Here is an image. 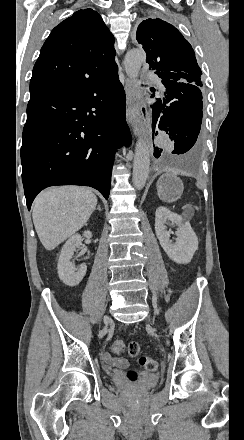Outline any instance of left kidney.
I'll return each mask as SVG.
<instances>
[{"label":"left kidney","mask_w":244,"mask_h":440,"mask_svg":"<svg viewBox=\"0 0 244 440\" xmlns=\"http://www.w3.org/2000/svg\"><path fill=\"white\" fill-rule=\"evenodd\" d=\"M167 222L179 226L177 232H175L176 242L170 240V234H173V232H167L165 226ZM155 232L160 246L173 262H177V264H189L191 262L193 254L198 248V238L189 222H186L182 216L173 214L165 206H159L155 214Z\"/></svg>","instance_id":"5707ae66"}]
</instances>
